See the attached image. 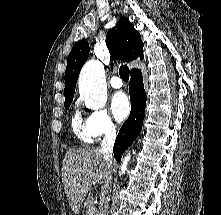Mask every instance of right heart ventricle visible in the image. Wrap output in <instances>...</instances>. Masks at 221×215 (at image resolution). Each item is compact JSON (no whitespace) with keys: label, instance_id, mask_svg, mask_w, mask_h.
<instances>
[{"label":"right heart ventricle","instance_id":"obj_1","mask_svg":"<svg viewBox=\"0 0 221 215\" xmlns=\"http://www.w3.org/2000/svg\"><path fill=\"white\" fill-rule=\"evenodd\" d=\"M72 129L76 136L84 142H91L92 137L89 135L85 123L82 121L79 113H75L72 118Z\"/></svg>","mask_w":221,"mask_h":215}]
</instances>
